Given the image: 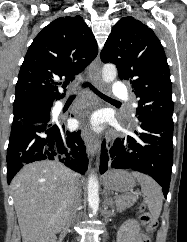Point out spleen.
<instances>
[{"instance_id":"3e777b00","label":"spleen","mask_w":187,"mask_h":242,"mask_svg":"<svg viewBox=\"0 0 187 242\" xmlns=\"http://www.w3.org/2000/svg\"><path fill=\"white\" fill-rule=\"evenodd\" d=\"M132 175L138 180L144 194V202L149 208L152 217L157 220L162 210L163 194L159 185L149 176L139 172Z\"/></svg>"}]
</instances>
